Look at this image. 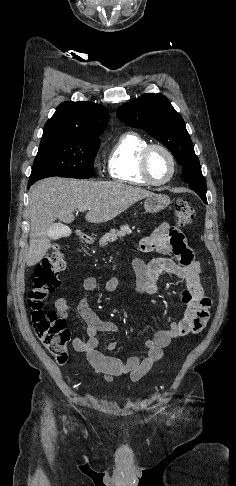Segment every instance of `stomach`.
I'll return each mask as SVG.
<instances>
[{"label":"stomach","mask_w":236,"mask_h":486,"mask_svg":"<svg viewBox=\"0 0 236 486\" xmlns=\"http://www.w3.org/2000/svg\"><path fill=\"white\" fill-rule=\"evenodd\" d=\"M170 204V198L164 194H153L144 201V208L147 213H157Z\"/></svg>","instance_id":"obj_1"}]
</instances>
